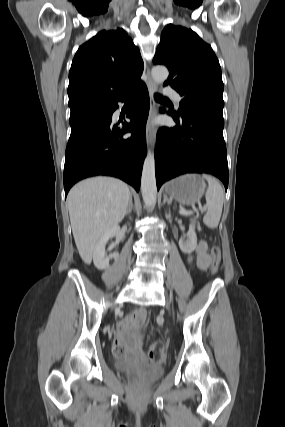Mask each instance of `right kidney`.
<instances>
[{
	"instance_id": "right-kidney-1",
	"label": "right kidney",
	"mask_w": 285,
	"mask_h": 427,
	"mask_svg": "<svg viewBox=\"0 0 285 427\" xmlns=\"http://www.w3.org/2000/svg\"><path fill=\"white\" fill-rule=\"evenodd\" d=\"M118 233H119V227H114L98 239L93 251V262L97 269L99 270L107 269L109 267V260L111 258H114V259L118 258L119 255L117 253L112 254L108 257L105 254V245L107 241L110 238L116 236Z\"/></svg>"
}]
</instances>
